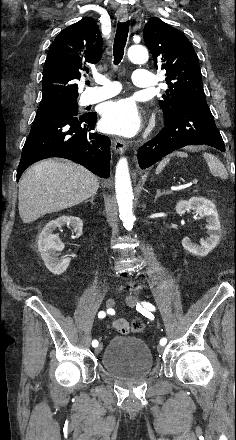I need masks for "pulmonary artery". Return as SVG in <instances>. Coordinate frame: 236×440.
<instances>
[{
	"label": "pulmonary artery",
	"mask_w": 236,
	"mask_h": 440,
	"mask_svg": "<svg viewBox=\"0 0 236 440\" xmlns=\"http://www.w3.org/2000/svg\"><path fill=\"white\" fill-rule=\"evenodd\" d=\"M133 83L137 88H150L154 86V75L147 69L137 68L132 75ZM101 86L94 89L86 90L83 94V103L92 104L110 97H113L120 91V87L116 82L102 77Z\"/></svg>",
	"instance_id": "1"
}]
</instances>
